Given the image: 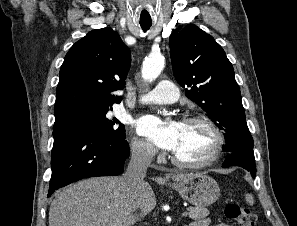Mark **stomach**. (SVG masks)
<instances>
[{
  "label": "stomach",
  "mask_w": 297,
  "mask_h": 226,
  "mask_svg": "<svg viewBox=\"0 0 297 226\" xmlns=\"http://www.w3.org/2000/svg\"><path fill=\"white\" fill-rule=\"evenodd\" d=\"M183 199L198 207L209 206L220 196L218 183L204 173L190 176L172 185Z\"/></svg>",
  "instance_id": "stomach-1"
}]
</instances>
